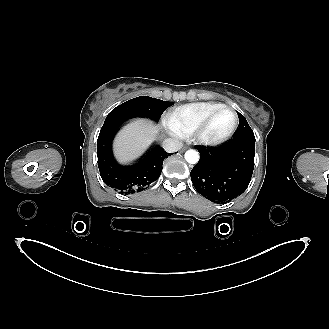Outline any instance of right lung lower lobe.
I'll return each mask as SVG.
<instances>
[{
	"instance_id": "98d812e1",
	"label": "right lung lower lobe",
	"mask_w": 329,
	"mask_h": 329,
	"mask_svg": "<svg viewBox=\"0 0 329 329\" xmlns=\"http://www.w3.org/2000/svg\"><path fill=\"white\" fill-rule=\"evenodd\" d=\"M122 123L111 121L102 126L97 141L98 167L108 186L120 193L132 194L146 189L159 178L167 152L158 145L133 166L117 164L112 156L111 140Z\"/></svg>"
}]
</instances>
